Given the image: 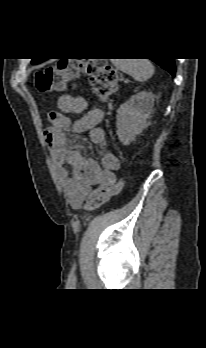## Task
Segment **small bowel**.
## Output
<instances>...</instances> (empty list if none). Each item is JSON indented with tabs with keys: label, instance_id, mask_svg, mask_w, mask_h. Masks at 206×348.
<instances>
[{
	"label": "small bowel",
	"instance_id": "1",
	"mask_svg": "<svg viewBox=\"0 0 206 348\" xmlns=\"http://www.w3.org/2000/svg\"><path fill=\"white\" fill-rule=\"evenodd\" d=\"M59 111L48 114V125L44 139L50 148L54 168L61 182L67 200L73 209H79L84 198L94 185H114L120 169L119 158L110 152H103L101 164L87 160L82 154L68 146L65 130L71 127L73 133H89L92 144L104 146L106 137L98 127L104 113L100 108L88 110L87 100L78 95L63 94L57 101ZM83 114L71 123L66 114ZM66 165L71 167V175Z\"/></svg>",
	"mask_w": 206,
	"mask_h": 348
}]
</instances>
